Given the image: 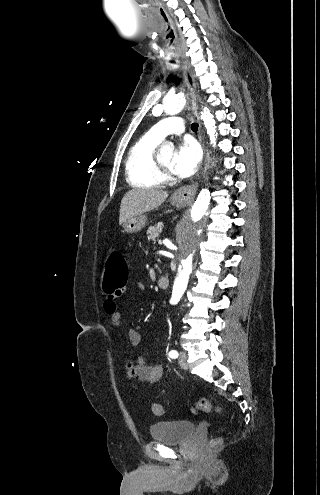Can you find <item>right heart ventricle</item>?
<instances>
[{
  "label": "right heart ventricle",
  "mask_w": 320,
  "mask_h": 495,
  "mask_svg": "<svg viewBox=\"0 0 320 495\" xmlns=\"http://www.w3.org/2000/svg\"><path fill=\"white\" fill-rule=\"evenodd\" d=\"M160 141L148 132L138 138L129 148L125 172L126 180L131 186L152 189L161 185L162 177L154 159Z\"/></svg>",
  "instance_id": "1"
}]
</instances>
